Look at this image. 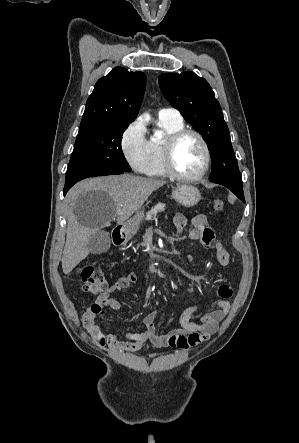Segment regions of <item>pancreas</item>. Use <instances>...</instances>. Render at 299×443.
Wrapping results in <instances>:
<instances>
[{"instance_id":"obj_1","label":"pancreas","mask_w":299,"mask_h":443,"mask_svg":"<svg viewBox=\"0 0 299 443\" xmlns=\"http://www.w3.org/2000/svg\"><path fill=\"white\" fill-rule=\"evenodd\" d=\"M165 208V204L158 203L150 211L147 212L145 220L149 221L156 217L158 212H162Z\"/></svg>"}]
</instances>
